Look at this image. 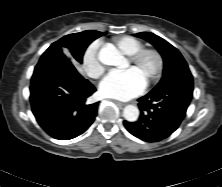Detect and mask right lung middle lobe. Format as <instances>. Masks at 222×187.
<instances>
[{"label":"right lung middle lobe","instance_id":"obj_1","mask_svg":"<svg viewBox=\"0 0 222 187\" xmlns=\"http://www.w3.org/2000/svg\"><path fill=\"white\" fill-rule=\"evenodd\" d=\"M105 35V33H93L83 31L81 33H74L61 38L59 41L53 43L46 52L48 54L66 52L72 61L82 63L83 54L87 46L96 38ZM64 55V54H63Z\"/></svg>","mask_w":222,"mask_h":187}]
</instances>
